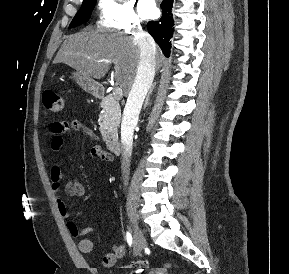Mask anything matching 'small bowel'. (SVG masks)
Returning <instances> with one entry per match:
<instances>
[{
    "label": "small bowel",
    "mask_w": 289,
    "mask_h": 274,
    "mask_svg": "<svg viewBox=\"0 0 289 274\" xmlns=\"http://www.w3.org/2000/svg\"><path fill=\"white\" fill-rule=\"evenodd\" d=\"M79 131L87 135L92 140H97L95 133L88 127L84 126L78 120H66L52 123L50 127L51 142L50 148L53 152H59L64 145V134L68 131ZM89 154L102 162L111 163L113 157L110 153L104 151L102 147L95 144L91 147ZM50 180L52 192L56 195V206L60 215L64 218L69 216L65 201L58 196L62 183V169L58 163H54L50 169ZM65 194L69 197H83L86 194V189L78 180H70L64 187ZM67 229L73 237L85 236L93 231L90 227L79 229L77 225L69 221ZM78 248L81 253L89 254L94 249V244L90 239L83 238L78 243ZM127 252L125 245H116L111 252H107L102 257V265L104 267H112L118 259L122 258Z\"/></svg>",
    "instance_id": "obj_1"
}]
</instances>
